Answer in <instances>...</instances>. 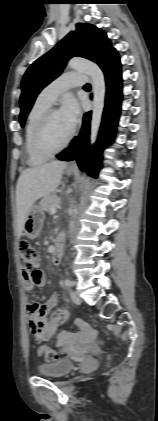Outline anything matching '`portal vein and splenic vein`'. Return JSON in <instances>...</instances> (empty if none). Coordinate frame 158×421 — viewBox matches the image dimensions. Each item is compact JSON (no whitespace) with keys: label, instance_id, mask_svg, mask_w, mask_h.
I'll list each match as a JSON object with an SVG mask.
<instances>
[{"label":"portal vein and splenic vein","instance_id":"1","mask_svg":"<svg viewBox=\"0 0 158 421\" xmlns=\"http://www.w3.org/2000/svg\"><path fill=\"white\" fill-rule=\"evenodd\" d=\"M51 214H55L56 213V208H52L50 211Z\"/></svg>","mask_w":158,"mask_h":421}]
</instances>
